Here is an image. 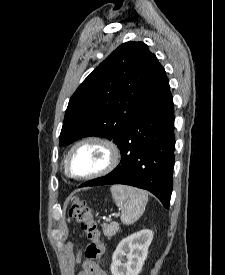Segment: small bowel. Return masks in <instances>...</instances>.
Segmentation results:
<instances>
[{
    "mask_svg": "<svg viewBox=\"0 0 225 275\" xmlns=\"http://www.w3.org/2000/svg\"><path fill=\"white\" fill-rule=\"evenodd\" d=\"M77 275H106V273L92 260H86Z\"/></svg>",
    "mask_w": 225,
    "mask_h": 275,
    "instance_id": "1",
    "label": "small bowel"
}]
</instances>
